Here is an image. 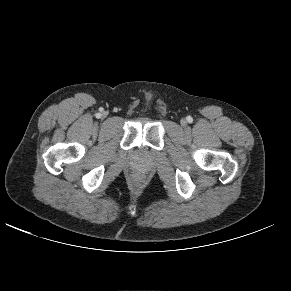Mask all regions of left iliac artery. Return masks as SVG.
<instances>
[{
	"instance_id": "obj_1",
	"label": "left iliac artery",
	"mask_w": 291,
	"mask_h": 291,
	"mask_svg": "<svg viewBox=\"0 0 291 291\" xmlns=\"http://www.w3.org/2000/svg\"><path fill=\"white\" fill-rule=\"evenodd\" d=\"M192 120H193V119H192V117H191V116H188V117H187V121H188L189 123H191V122H192Z\"/></svg>"
}]
</instances>
